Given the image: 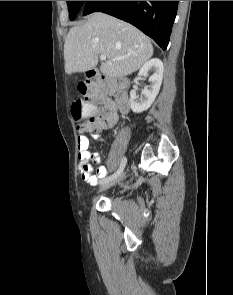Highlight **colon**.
Instances as JSON below:
<instances>
[{"instance_id":"colon-1","label":"colon","mask_w":233,"mask_h":295,"mask_svg":"<svg viewBox=\"0 0 233 295\" xmlns=\"http://www.w3.org/2000/svg\"><path fill=\"white\" fill-rule=\"evenodd\" d=\"M123 84L112 78L88 77L85 81L78 84L77 89L82 99L75 100L72 103L73 117L80 121L90 116L87 124L96 122L94 102L102 95L114 93L122 89Z\"/></svg>"}]
</instances>
